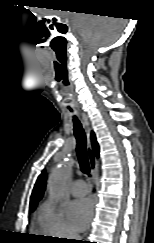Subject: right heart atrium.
<instances>
[{
	"instance_id": "d8ad5b80",
	"label": "right heart atrium",
	"mask_w": 154,
	"mask_h": 243,
	"mask_svg": "<svg viewBox=\"0 0 154 243\" xmlns=\"http://www.w3.org/2000/svg\"><path fill=\"white\" fill-rule=\"evenodd\" d=\"M38 225L40 231L48 237L59 239L76 237L64 208L52 201H47L41 206L38 213Z\"/></svg>"
}]
</instances>
